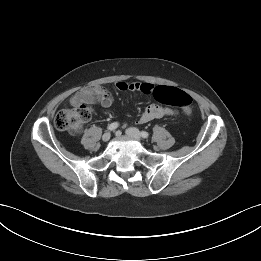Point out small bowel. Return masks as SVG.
<instances>
[{
	"instance_id": "obj_1",
	"label": "small bowel",
	"mask_w": 261,
	"mask_h": 261,
	"mask_svg": "<svg viewBox=\"0 0 261 261\" xmlns=\"http://www.w3.org/2000/svg\"><path fill=\"white\" fill-rule=\"evenodd\" d=\"M116 88L120 91H139L145 94H150L154 91V86L147 82H131L127 83L120 81L116 84ZM98 102L104 108H110L113 104V97L109 90L100 85L85 87L76 92L70 99L73 106L82 103ZM176 111L171 108L162 107L157 104L147 106L139 117V123H147L154 119H159L165 116H173Z\"/></svg>"
}]
</instances>
